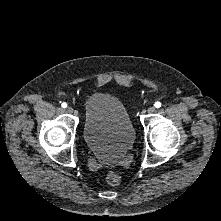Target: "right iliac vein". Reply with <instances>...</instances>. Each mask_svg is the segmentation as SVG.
Here are the masks:
<instances>
[{
  "label": "right iliac vein",
  "mask_w": 221,
  "mask_h": 221,
  "mask_svg": "<svg viewBox=\"0 0 221 221\" xmlns=\"http://www.w3.org/2000/svg\"><path fill=\"white\" fill-rule=\"evenodd\" d=\"M67 111L69 112V113H73V108L72 107H67Z\"/></svg>",
  "instance_id": "1"
}]
</instances>
